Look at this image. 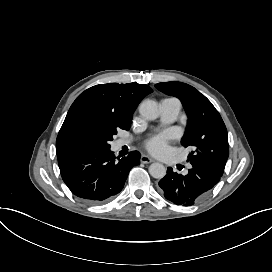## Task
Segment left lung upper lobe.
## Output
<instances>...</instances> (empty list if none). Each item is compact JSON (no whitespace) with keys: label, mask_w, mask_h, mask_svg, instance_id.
<instances>
[{"label":"left lung upper lobe","mask_w":272,"mask_h":272,"mask_svg":"<svg viewBox=\"0 0 272 272\" xmlns=\"http://www.w3.org/2000/svg\"><path fill=\"white\" fill-rule=\"evenodd\" d=\"M161 92L179 98L188 116V126L181 144L192 146L188 162L207 167L217 174L224 172L229 156L225 124L212 103L194 87L182 82L158 83Z\"/></svg>","instance_id":"left-lung-upper-lobe-1"}]
</instances>
